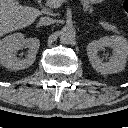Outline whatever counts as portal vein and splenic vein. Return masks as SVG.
Masks as SVG:
<instances>
[{"label":"portal vein and splenic vein","mask_w":128,"mask_h":128,"mask_svg":"<svg viewBox=\"0 0 128 128\" xmlns=\"http://www.w3.org/2000/svg\"><path fill=\"white\" fill-rule=\"evenodd\" d=\"M69 0H47L46 6L51 8H58L63 2H68Z\"/></svg>","instance_id":"18ae733b"}]
</instances>
